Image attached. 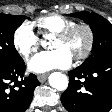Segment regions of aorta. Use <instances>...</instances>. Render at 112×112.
I'll use <instances>...</instances> for the list:
<instances>
[{"instance_id": "762f6f07", "label": "aorta", "mask_w": 112, "mask_h": 112, "mask_svg": "<svg viewBox=\"0 0 112 112\" xmlns=\"http://www.w3.org/2000/svg\"><path fill=\"white\" fill-rule=\"evenodd\" d=\"M42 45H45L44 41L42 42ZM48 80L50 86L58 91H65L69 83L67 76L61 72L51 73Z\"/></svg>"}]
</instances>
